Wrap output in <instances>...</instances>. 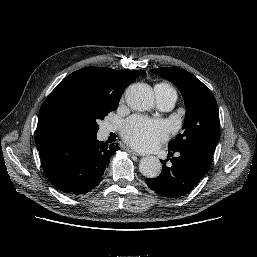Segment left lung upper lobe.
I'll return each instance as SVG.
<instances>
[{"label":"left lung upper lobe","mask_w":257,"mask_h":257,"mask_svg":"<svg viewBox=\"0 0 257 257\" xmlns=\"http://www.w3.org/2000/svg\"><path fill=\"white\" fill-rule=\"evenodd\" d=\"M150 71L173 82L185 101L184 132L170 141L168 148L198 147L214 153L220 138V121L217 102L209 88L191 73L178 67H161Z\"/></svg>","instance_id":"5c2ea615"}]
</instances>
